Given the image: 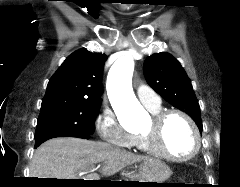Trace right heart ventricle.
Instances as JSON below:
<instances>
[{
	"instance_id": "e07e8e85",
	"label": "right heart ventricle",
	"mask_w": 240,
	"mask_h": 187,
	"mask_svg": "<svg viewBox=\"0 0 240 187\" xmlns=\"http://www.w3.org/2000/svg\"><path fill=\"white\" fill-rule=\"evenodd\" d=\"M153 114L159 112L160 108L158 109H149ZM134 146H136L139 150L144 151V152H148L144 140L141 136H135V140H134Z\"/></svg>"
}]
</instances>
